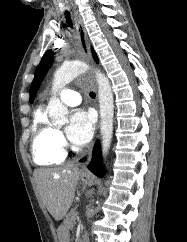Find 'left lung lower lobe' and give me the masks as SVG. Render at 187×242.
<instances>
[{
	"label": "left lung lower lobe",
	"mask_w": 187,
	"mask_h": 242,
	"mask_svg": "<svg viewBox=\"0 0 187 242\" xmlns=\"http://www.w3.org/2000/svg\"><path fill=\"white\" fill-rule=\"evenodd\" d=\"M81 161H85V159H82ZM88 168L90 169V171H92L94 174H96L99 177H102L104 173L99 142H97L94 147V151L92 154V161L88 165Z\"/></svg>",
	"instance_id": "obj_1"
}]
</instances>
